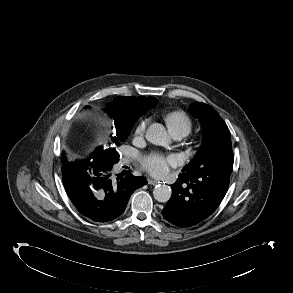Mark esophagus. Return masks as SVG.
Instances as JSON below:
<instances>
[{
  "label": "esophagus",
  "mask_w": 293,
  "mask_h": 293,
  "mask_svg": "<svg viewBox=\"0 0 293 293\" xmlns=\"http://www.w3.org/2000/svg\"><path fill=\"white\" fill-rule=\"evenodd\" d=\"M159 183H161V182L158 181V180H155V179H152V178H148V184H149V185L156 186V185H158Z\"/></svg>",
  "instance_id": "1"
}]
</instances>
